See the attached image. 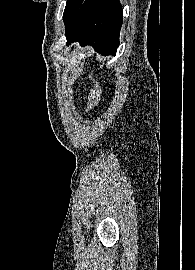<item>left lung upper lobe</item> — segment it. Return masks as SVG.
<instances>
[{
    "mask_svg": "<svg viewBox=\"0 0 195 270\" xmlns=\"http://www.w3.org/2000/svg\"><path fill=\"white\" fill-rule=\"evenodd\" d=\"M84 0H67L63 14L65 28L72 22Z\"/></svg>",
    "mask_w": 195,
    "mask_h": 270,
    "instance_id": "5c2ea615",
    "label": "left lung upper lobe"
}]
</instances>
